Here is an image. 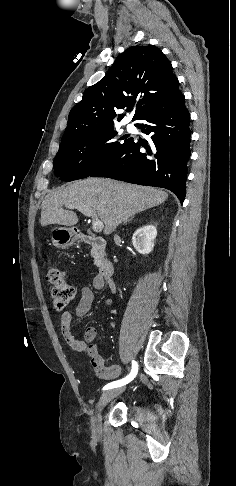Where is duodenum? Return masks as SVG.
Instances as JSON below:
<instances>
[{"instance_id": "1", "label": "duodenum", "mask_w": 236, "mask_h": 486, "mask_svg": "<svg viewBox=\"0 0 236 486\" xmlns=\"http://www.w3.org/2000/svg\"><path fill=\"white\" fill-rule=\"evenodd\" d=\"M78 239L82 243L89 245L97 255L99 261L100 277L106 281L110 280L114 272V267L112 262L109 261L105 256V240L101 237L89 235L83 232L78 233Z\"/></svg>"}]
</instances>
